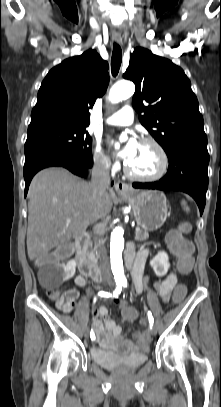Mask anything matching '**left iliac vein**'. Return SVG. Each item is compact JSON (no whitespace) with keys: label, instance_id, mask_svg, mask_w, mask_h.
I'll return each instance as SVG.
<instances>
[{"label":"left iliac vein","instance_id":"left-iliac-vein-1","mask_svg":"<svg viewBox=\"0 0 221 407\" xmlns=\"http://www.w3.org/2000/svg\"><path fill=\"white\" fill-rule=\"evenodd\" d=\"M156 333H157L156 328L153 327V328L151 329V334H152V335H156Z\"/></svg>","mask_w":221,"mask_h":407}]
</instances>
